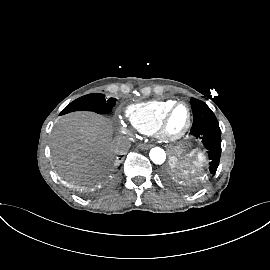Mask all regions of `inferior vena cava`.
<instances>
[{"instance_id":"inferior-vena-cava-1","label":"inferior vena cava","mask_w":270,"mask_h":270,"mask_svg":"<svg viewBox=\"0 0 270 270\" xmlns=\"http://www.w3.org/2000/svg\"><path fill=\"white\" fill-rule=\"evenodd\" d=\"M130 147V143L125 138H117L112 141L111 149L116 153H124Z\"/></svg>"}]
</instances>
